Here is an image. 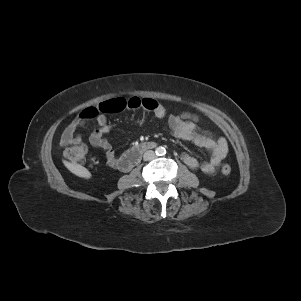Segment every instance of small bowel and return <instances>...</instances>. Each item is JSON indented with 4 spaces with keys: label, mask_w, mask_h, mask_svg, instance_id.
<instances>
[{
    "label": "small bowel",
    "mask_w": 301,
    "mask_h": 301,
    "mask_svg": "<svg viewBox=\"0 0 301 301\" xmlns=\"http://www.w3.org/2000/svg\"><path fill=\"white\" fill-rule=\"evenodd\" d=\"M159 119L167 118L169 129L172 135L178 139L192 142L198 147L211 151L209 160L199 161L188 153H183L181 158L183 162L192 169H197L206 174L216 172L217 168L224 160L228 152L227 141L223 137H213L207 131H202L198 124L188 120H181L179 115H167L164 107L154 112ZM88 118L81 113L65 128L60 143L61 145H70L81 140V135L77 131L82 128ZM96 128L89 135L90 144L101 149L109 166L122 170L121 161L123 155H118L112 148L111 143L107 139V134L111 131L113 125L106 121L104 116L95 118Z\"/></svg>",
    "instance_id": "obj_1"
}]
</instances>
